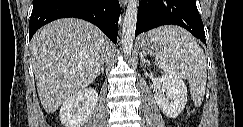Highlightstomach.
<instances>
[{
    "instance_id": "obj_1",
    "label": "stomach",
    "mask_w": 243,
    "mask_h": 127,
    "mask_svg": "<svg viewBox=\"0 0 243 127\" xmlns=\"http://www.w3.org/2000/svg\"><path fill=\"white\" fill-rule=\"evenodd\" d=\"M158 31L159 29L154 30L142 37L140 41V48L142 54H150L157 58L163 51L164 44L162 43V41L157 39Z\"/></svg>"
}]
</instances>
